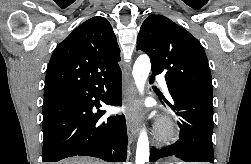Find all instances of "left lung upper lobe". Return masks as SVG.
<instances>
[{
  "instance_id": "obj_1",
  "label": "left lung upper lobe",
  "mask_w": 251,
  "mask_h": 164,
  "mask_svg": "<svg viewBox=\"0 0 251 164\" xmlns=\"http://www.w3.org/2000/svg\"><path fill=\"white\" fill-rule=\"evenodd\" d=\"M138 50L146 52L154 75L164 73L168 89L213 96L211 72L200 42L163 15H150L142 24Z\"/></svg>"
}]
</instances>
